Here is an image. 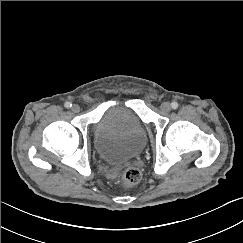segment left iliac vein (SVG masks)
<instances>
[{
  "label": "left iliac vein",
  "instance_id": "4c4485c4",
  "mask_svg": "<svg viewBox=\"0 0 243 243\" xmlns=\"http://www.w3.org/2000/svg\"><path fill=\"white\" fill-rule=\"evenodd\" d=\"M160 108L163 112H169L171 110V105L168 102H163Z\"/></svg>",
  "mask_w": 243,
  "mask_h": 243
}]
</instances>
